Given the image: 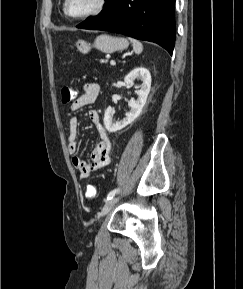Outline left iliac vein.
Here are the masks:
<instances>
[{"label":"left iliac vein","instance_id":"1","mask_svg":"<svg viewBox=\"0 0 243 289\" xmlns=\"http://www.w3.org/2000/svg\"><path fill=\"white\" fill-rule=\"evenodd\" d=\"M118 200H119L118 197H114V198L108 200L105 203V205L103 206L100 216L104 217L115 206V204L118 202Z\"/></svg>","mask_w":243,"mask_h":289}]
</instances>
